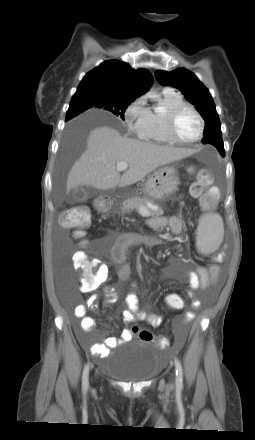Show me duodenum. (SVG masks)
I'll list each match as a JSON object with an SVG mask.
<instances>
[{
    "label": "duodenum",
    "mask_w": 255,
    "mask_h": 440,
    "mask_svg": "<svg viewBox=\"0 0 255 440\" xmlns=\"http://www.w3.org/2000/svg\"><path fill=\"white\" fill-rule=\"evenodd\" d=\"M96 207L102 212H106L109 209L107 206V201L105 199L98 200L96 203Z\"/></svg>",
    "instance_id": "obj_1"
}]
</instances>
